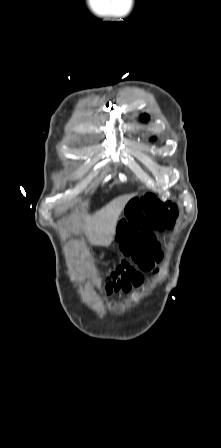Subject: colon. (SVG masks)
Listing matches in <instances>:
<instances>
[{
  "label": "colon",
  "mask_w": 221,
  "mask_h": 448,
  "mask_svg": "<svg viewBox=\"0 0 221 448\" xmlns=\"http://www.w3.org/2000/svg\"><path fill=\"white\" fill-rule=\"evenodd\" d=\"M143 210L147 219L140 217ZM177 206L171 202H163L153 195H147L128 208L127 219H121L117 226V237L127 240L132 234L136 242L130 245L132 258L142 270L152 271L161 260V253L155 241L153 232H162L173 226L177 217ZM130 222L136 224L132 229ZM107 283L115 287L136 285L140 281V274L129 264H118L116 270L107 275Z\"/></svg>",
  "instance_id": "colon-1"
}]
</instances>
